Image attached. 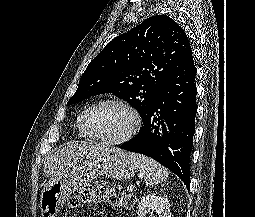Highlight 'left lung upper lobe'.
Masks as SVG:
<instances>
[{"instance_id":"obj_1","label":"left lung upper lobe","mask_w":255,"mask_h":217,"mask_svg":"<svg viewBox=\"0 0 255 217\" xmlns=\"http://www.w3.org/2000/svg\"><path fill=\"white\" fill-rule=\"evenodd\" d=\"M190 51L187 34L172 18H147L110 41L89 63L67 105L113 93L134 106L143 120L163 80Z\"/></svg>"}]
</instances>
